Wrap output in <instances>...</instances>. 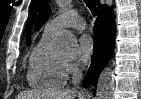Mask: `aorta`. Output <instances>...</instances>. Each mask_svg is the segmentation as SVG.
<instances>
[{
    "instance_id": "obj_1",
    "label": "aorta",
    "mask_w": 141,
    "mask_h": 99,
    "mask_svg": "<svg viewBox=\"0 0 141 99\" xmlns=\"http://www.w3.org/2000/svg\"><path fill=\"white\" fill-rule=\"evenodd\" d=\"M58 3L60 6H65L68 4V0H60ZM56 48L61 53H74L78 48L77 40L71 33H64L58 37ZM113 91L112 70L106 67L102 70L98 79L96 99H113Z\"/></svg>"
}]
</instances>
